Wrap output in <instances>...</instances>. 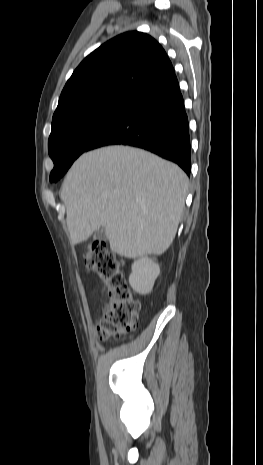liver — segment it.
<instances>
[{
    "mask_svg": "<svg viewBox=\"0 0 263 465\" xmlns=\"http://www.w3.org/2000/svg\"><path fill=\"white\" fill-rule=\"evenodd\" d=\"M188 184L177 165L141 149L116 145L84 153L61 188L72 244L104 227L121 256L163 254L175 238Z\"/></svg>",
    "mask_w": 263,
    "mask_h": 465,
    "instance_id": "1",
    "label": "liver"
}]
</instances>
